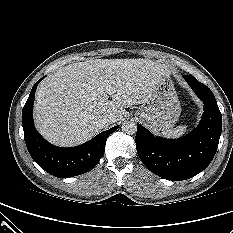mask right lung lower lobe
Wrapping results in <instances>:
<instances>
[{"instance_id":"obj_1","label":"right lung lower lobe","mask_w":233,"mask_h":233,"mask_svg":"<svg viewBox=\"0 0 233 233\" xmlns=\"http://www.w3.org/2000/svg\"><path fill=\"white\" fill-rule=\"evenodd\" d=\"M38 80L23 107L22 125L24 139L32 159L49 174L68 178L90 171L105 152L108 136L118 126L101 132L90 141L70 148H61L47 142L35 129L33 123V104Z\"/></svg>"}]
</instances>
